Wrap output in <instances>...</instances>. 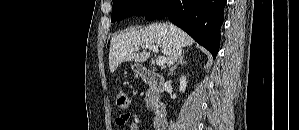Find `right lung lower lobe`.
I'll list each match as a JSON object with an SVG mask.
<instances>
[{
	"label": "right lung lower lobe",
	"instance_id": "right-lung-lower-lobe-1",
	"mask_svg": "<svg viewBox=\"0 0 299 130\" xmlns=\"http://www.w3.org/2000/svg\"><path fill=\"white\" fill-rule=\"evenodd\" d=\"M226 0H158L146 19H168L216 57Z\"/></svg>",
	"mask_w": 299,
	"mask_h": 130
}]
</instances>
